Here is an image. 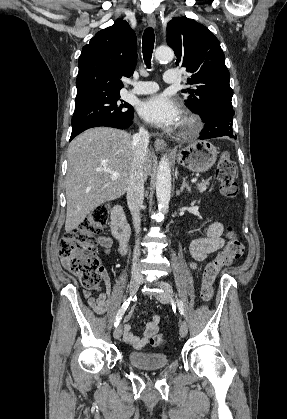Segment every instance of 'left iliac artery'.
Listing matches in <instances>:
<instances>
[{
	"mask_svg": "<svg viewBox=\"0 0 287 419\" xmlns=\"http://www.w3.org/2000/svg\"><path fill=\"white\" fill-rule=\"evenodd\" d=\"M177 305L179 307L180 313L183 315L184 314L183 303L180 300L177 299Z\"/></svg>",
	"mask_w": 287,
	"mask_h": 419,
	"instance_id": "obj_1",
	"label": "left iliac artery"
}]
</instances>
